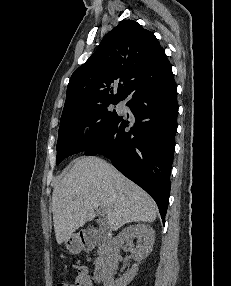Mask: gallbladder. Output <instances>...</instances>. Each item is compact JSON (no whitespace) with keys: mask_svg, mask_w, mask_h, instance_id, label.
<instances>
[{"mask_svg":"<svg viewBox=\"0 0 231 286\" xmlns=\"http://www.w3.org/2000/svg\"><path fill=\"white\" fill-rule=\"evenodd\" d=\"M91 232H92V233H95V232H96V229H95V228H92V229H91Z\"/></svg>","mask_w":231,"mask_h":286,"instance_id":"obj_1","label":"gallbladder"}]
</instances>
